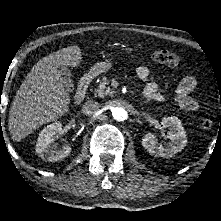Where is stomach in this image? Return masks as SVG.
<instances>
[{
  "label": "stomach",
  "instance_id": "0dacf381",
  "mask_svg": "<svg viewBox=\"0 0 221 221\" xmlns=\"http://www.w3.org/2000/svg\"><path fill=\"white\" fill-rule=\"evenodd\" d=\"M111 66L112 64L109 61L96 63L95 65L91 67L89 74L93 77H96L100 75L101 73L108 71L111 68Z\"/></svg>",
  "mask_w": 221,
  "mask_h": 221
}]
</instances>
